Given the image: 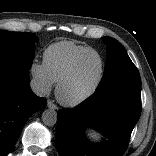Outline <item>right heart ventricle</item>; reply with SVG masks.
Instances as JSON below:
<instances>
[{"mask_svg": "<svg viewBox=\"0 0 156 156\" xmlns=\"http://www.w3.org/2000/svg\"><path fill=\"white\" fill-rule=\"evenodd\" d=\"M92 48L70 41L50 45L43 54V64L54 83L66 73L74 59L82 52Z\"/></svg>", "mask_w": 156, "mask_h": 156, "instance_id": "right-heart-ventricle-1", "label": "right heart ventricle"}]
</instances>
